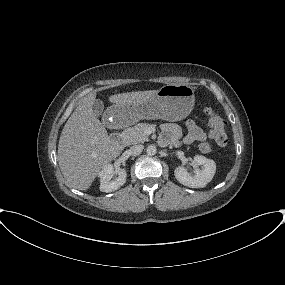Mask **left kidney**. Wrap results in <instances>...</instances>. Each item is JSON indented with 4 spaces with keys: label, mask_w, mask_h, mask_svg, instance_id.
<instances>
[{
    "label": "left kidney",
    "mask_w": 285,
    "mask_h": 285,
    "mask_svg": "<svg viewBox=\"0 0 285 285\" xmlns=\"http://www.w3.org/2000/svg\"><path fill=\"white\" fill-rule=\"evenodd\" d=\"M194 163L201 165L202 169H196L194 174H190L184 167H177L174 171L175 178L190 188H203L213 179L216 163L202 155L194 156Z\"/></svg>",
    "instance_id": "1"
}]
</instances>
